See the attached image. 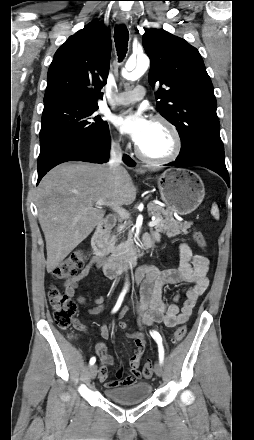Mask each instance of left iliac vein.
I'll return each instance as SVG.
<instances>
[{"mask_svg": "<svg viewBox=\"0 0 254 440\" xmlns=\"http://www.w3.org/2000/svg\"><path fill=\"white\" fill-rule=\"evenodd\" d=\"M154 372L157 376L162 377L163 376V368L160 363H155L154 365Z\"/></svg>", "mask_w": 254, "mask_h": 440, "instance_id": "1", "label": "left iliac vein"}]
</instances>
